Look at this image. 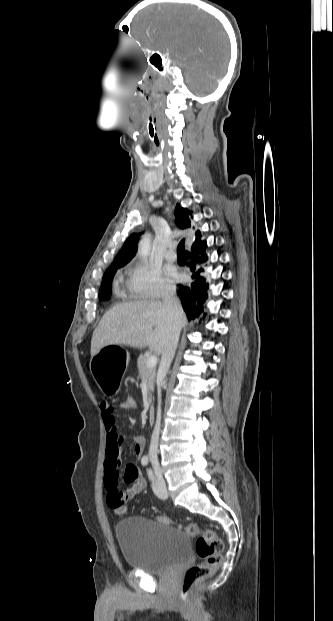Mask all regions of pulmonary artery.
Returning <instances> with one entry per match:
<instances>
[{
    "label": "pulmonary artery",
    "instance_id": "1",
    "mask_svg": "<svg viewBox=\"0 0 333 621\" xmlns=\"http://www.w3.org/2000/svg\"><path fill=\"white\" fill-rule=\"evenodd\" d=\"M174 245H170L167 249V251L165 252V258L168 261H175L177 259V255L174 251Z\"/></svg>",
    "mask_w": 333,
    "mask_h": 621
}]
</instances>
